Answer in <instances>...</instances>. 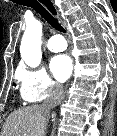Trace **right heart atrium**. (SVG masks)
Here are the masks:
<instances>
[{
    "instance_id": "right-heart-atrium-1",
    "label": "right heart atrium",
    "mask_w": 117,
    "mask_h": 136,
    "mask_svg": "<svg viewBox=\"0 0 117 136\" xmlns=\"http://www.w3.org/2000/svg\"><path fill=\"white\" fill-rule=\"evenodd\" d=\"M21 96L27 103H36L50 97H59L62 87L55 82L44 67H22L17 72Z\"/></svg>"
}]
</instances>
